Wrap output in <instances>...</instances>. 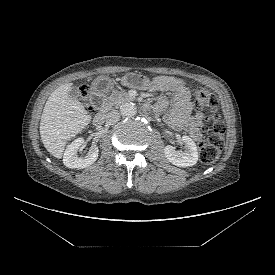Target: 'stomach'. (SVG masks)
<instances>
[{"instance_id":"obj_1","label":"stomach","mask_w":275,"mask_h":275,"mask_svg":"<svg viewBox=\"0 0 275 275\" xmlns=\"http://www.w3.org/2000/svg\"><path fill=\"white\" fill-rule=\"evenodd\" d=\"M113 88V82L106 76H99L92 82V91L95 95L108 93Z\"/></svg>"}]
</instances>
